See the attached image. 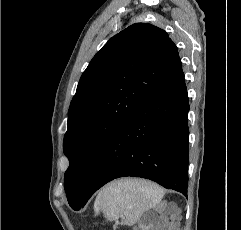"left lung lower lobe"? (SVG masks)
<instances>
[{"mask_svg":"<svg viewBox=\"0 0 241 230\" xmlns=\"http://www.w3.org/2000/svg\"><path fill=\"white\" fill-rule=\"evenodd\" d=\"M188 95L180 66L105 143L91 180L78 203L109 181L125 176L153 180L187 194Z\"/></svg>","mask_w":241,"mask_h":230,"instance_id":"left-lung-lower-lobe-1","label":"left lung lower lobe"}]
</instances>
